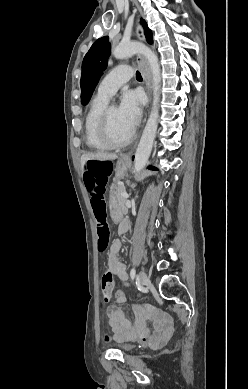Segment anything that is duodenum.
I'll return each mask as SVG.
<instances>
[{"label":"duodenum","instance_id":"duodenum-1","mask_svg":"<svg viewBox=\"0 0 248 389\" xmlns=\"http://www.w3.org/2000/svg\"><path fill=\"white\" fill-rule=\"evenodd\" d=\"M124 228H125V226H124V225H121L120 233H124V232H125V231H124Z\"/></svg>","mask_w":248,"mask_h":389}]
</instances>
